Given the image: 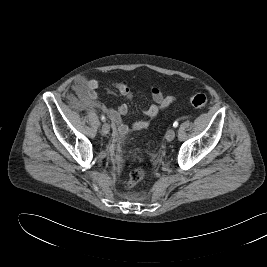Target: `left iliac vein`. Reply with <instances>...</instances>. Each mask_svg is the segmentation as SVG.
<instances>
[{
  "instance_id": "1",
  "label": "left iliac vein",
  "mask_w": 267,
  "mask_h": 267,
  "mask_svg": "<svg viewBox=\"0 0 267 267\" xmlns=\"http://www.w3.org/2000/svg\"><path fill=\"white\" fill-rule=\"evenodd\" d=\"M175 138V130L173 128L169 129L166 133L167 141H172Z\"/></svg>"
}]
</instances>
